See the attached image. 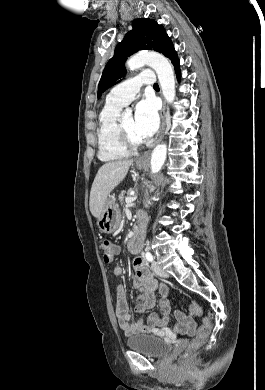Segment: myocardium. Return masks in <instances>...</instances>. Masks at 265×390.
Wrapping results in <instances>:
<instances>
[{"instance_id": "f54148a6", "label": "myocardium", "mask_w": 265, "mask_h": 390, "mask_svg": "<svg viewBox=\"0 0 265 390\" xmlns=\"http://www.w3.org/2000/svg\"><path fill=\"white\" fill-rule=\"evenodd\" d=\"M118 135L119 139L122 143V145L128 150V151H136L143 147L144 141H136L127 133L125 130L122 121L118 122Z\"/></svg>"}]
</instances>
